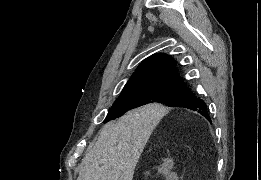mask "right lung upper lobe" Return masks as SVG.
I'll return each mask as SVG.
<instances>
[{
	"instance_id": "obj_1",
	"label": "right lung upper lobe",
	"mask_w": 261,
	"mask_h": 180,
	"mask_svg": "<svg viewBox=\"0 0 261 180\" xmlns=\"http://www.w3.org/2000/svg\"><path fill=\"white\" fill-rule=\"evenodd\" d=\"M169 81H182L175 61L169 55L155 54L140 64L124 88Z\"/></svg>"
}]
</instances>
